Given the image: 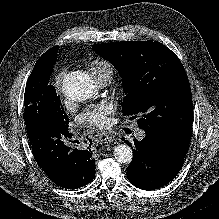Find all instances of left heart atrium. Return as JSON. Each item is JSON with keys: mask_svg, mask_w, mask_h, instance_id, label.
I'll return each mask as SVG.
<instances>
[{"mask_svg": "<svg viewBox=\"0 0 219 219\" xmlns=\"http://www.w3.org/2000/svg\"><path fill=\"white\" fill-rule=\"evenodd\" d=\"M114 107L110 103H101L86 110L80 117L85 124L103 127L108 123V115L112 114Z\"/></svg>", "mask_w": 219, "mask_h": 219, "instance_id": "1", "label": "left heart atrium"}]
</instances>
